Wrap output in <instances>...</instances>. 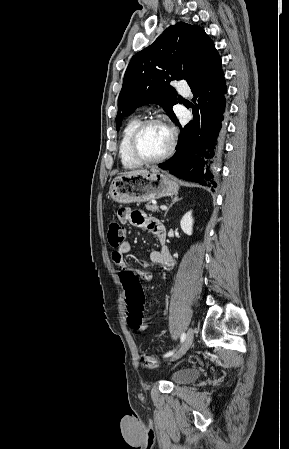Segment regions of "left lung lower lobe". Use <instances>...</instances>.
<instances>
[{
	"mask_svg": "<svg viewBox=\"0 0 289 449\" xmlns=\"http://www.w3.org/2000/svg\"><path fill=\"white\" fill-rule=\"evenodd\" d=\"M222 62L216 49L204 60L196 78L189 83L194 95V118L181 128L176 153L159 165L178 178L216 187L213 163L222 151L225 137L227 87Z\"/></svg>",
	"mask_w": 289,
	"mask_h": 449,
	"instance_id": "1",
	"label": "left lung lower lobe"
}]
</instances>
